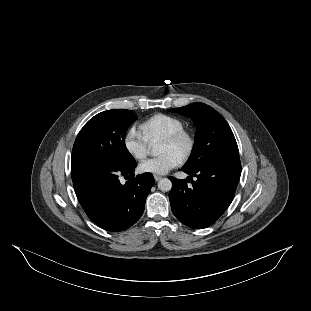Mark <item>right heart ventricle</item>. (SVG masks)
Returning a JSON list of instances; mask_svg holds the SVG:
<instances>
[{"instance_id": "e07e8e85", "label": "right heart ventricle", "mask_w": 311, "mask_h": 311, "mask_svg": "<svg viewBox=\"0 0 311 311\" xmlns=\"http://www.w3.org/2000/svg\"><path fill=\"white\" fill-rule=\"evenodd\" d=\"M140 127L148 142H154L184 128L185 123L177 116L156 113L143 120Z\"/></svg>"}]
</instances>
